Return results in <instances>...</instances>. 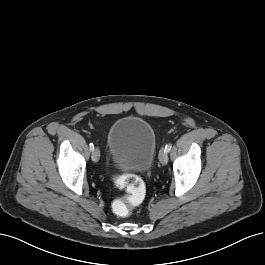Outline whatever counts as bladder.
<instances>
[{
    "label": "bladder",
    "mask_w": 265,
    "mask_h": 265,
    "mask_svg": "<svg viewBox=\"0 0 265 265\" xmlns=\"http://www.w3.org/2000/svg\"><path fill=\"white\" fill-rule=\"evenodd\" d=\"M107 145L110 156L120 169L144 172L153 164L156 136L145 119L125 116L111 125Z\"/></svg>",
    "instance_id": "31cf9c89"
}]
</instances>
